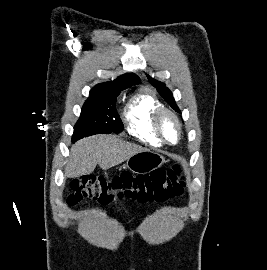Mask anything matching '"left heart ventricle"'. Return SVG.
I'll return each mask as SVG.
<instances>
[{"instance_id": "left-heart-ventricle-1", "label": "left heart ventricle", "mask_w": 267, "mask_h": 270, "mask_svg": "<svg viewBox=\"0 0 267 270\" xmlns=\"http://www.w3.org/2000/svg\"><path fill=\"white\" fill-rule=\"evenodd\" d=\"M162 129L166 138L169 141L175 142L177 140V136H178L177 127L174 120L170 116L166 115L163 117Z\"/></svg>"}]
</instances>
